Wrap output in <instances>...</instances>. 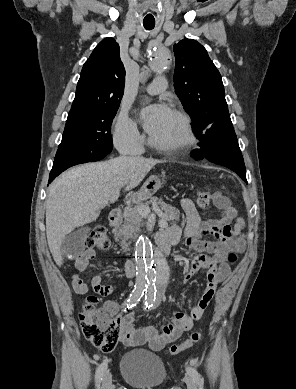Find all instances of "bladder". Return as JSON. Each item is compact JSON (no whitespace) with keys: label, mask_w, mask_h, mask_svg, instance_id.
<instances>
[{"label":"bladder","mask_w":296,"mask_h":389,"mask_svg":"<svg viewBox=\"0 0 296 389\" xmlns=\"http://www.w3.org/2000/svg\"><path fill=\"white\" fill-rule=\"evenodd\" d=\"M125 382L136 389H155L166 380V368L157 355L143 349L126 351L120 362Z\"/></svg>","instance_id":"bladder-1"}]
</instances>
